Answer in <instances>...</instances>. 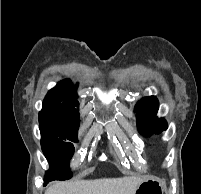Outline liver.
I'll use <instances>...</instances> for the list:
<instances>
[{
	"label": "liver",
	"mask_w": 201,
	"mask_h": 194,
	"mask_svg": "<svg viewBox=\"0 0 201 194\" xmlns=\"http://www.w3.org/2000/svg\"><path fill=\"white\" fill-rule=\"evenodd\" d=\"M143 181V178L130 176L56 182L45 194H134Z\"/></svg>",
	"instance_id": "1"
}]
</instances>
